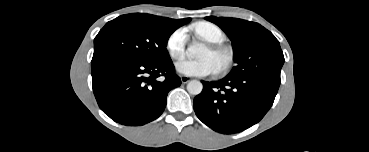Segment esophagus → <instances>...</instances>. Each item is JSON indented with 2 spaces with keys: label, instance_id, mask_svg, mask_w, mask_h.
Listing matches in <instances>:
<instances>
[{
  "label": "esophagus",
  "instance_id": "esophagus-1",
  "mask_svg": "<svg viewBox=\"0 0 369 152\" xmlns=\"http://www.w3.org/2000/svg\"><path fill=\"white\" fill-rule=\"evenodd\" d=\"M180 79L183 84H186L187 82H189V78L187 76L181 75Z\"/></svg>",
  "mask_w": 369,
  "mask_h": 152
}]
</instances>
